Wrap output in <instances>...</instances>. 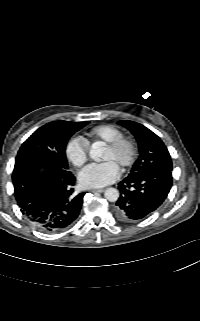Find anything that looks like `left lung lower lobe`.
Returning a JSON list of instances; mask_svg holds the SVG:
<instances>
[{
    "label": "left lung lower lobe",
    "instance_id": "0a47b994",
    "mask_svg": "<svg viewBox=\"0 0 200 321\" xmlns=\"http://www.w3.org/2000/svg\"><path fill=\"white\" fill-rule=\"evenodd\" d=\"M118 185L120 197L115 206L116 217L123 222L138 221L164 202L172 186V171L147 169L131 172Z\"/></svg>",
    "mask_w": 200,
    "mask_h": 321
}]
</instances>
